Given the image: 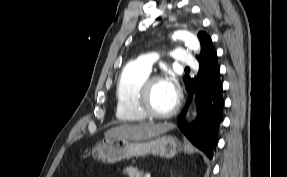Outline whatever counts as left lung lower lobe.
<instances>
[{
    "instance_id": "obj_1",
    "label": "left lung lower lobe",
    "mask_w": 287,
    "mask_h": 177,
    "mask_svg": "<svg viewBox=\"0 0 287 177\" xmlns=\"http://www.w3.org/2000/svg\"><path fill=\"white\" fill-rule=\"evenodd\" d=\"M198 60L200 63L198 77L195 79L184 77L189 96L177 123L188 139L203 151L209 159H212L218 142V131L223 120L224 100L222 97V83L219 78L220 69L217 63V53L211 39L206 43L205 49ZM196 88L198 116L195 122L188 126L185 122V116Z\"/></svg>"
}]
</instances>
